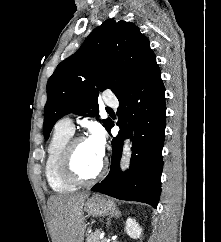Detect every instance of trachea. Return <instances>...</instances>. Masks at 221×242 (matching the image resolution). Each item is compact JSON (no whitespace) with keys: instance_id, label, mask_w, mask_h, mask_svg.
<instances>
[{"instance_id":"obj_1","label":"trachea","mask_w":221,"mask_h":242,"mask_svg":"<svg viewBox=\"0 0 221 242\" xmlns=\"http://www.w3.org/2000/svg\"><path fill=\"white\" fill-rule=\"evenodd\" d=\"M106 110H107V112H112L113 111L111 108H107Z\"/></svg>"}]
</instances>
